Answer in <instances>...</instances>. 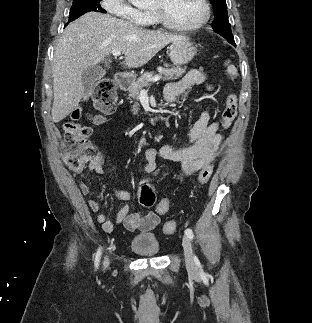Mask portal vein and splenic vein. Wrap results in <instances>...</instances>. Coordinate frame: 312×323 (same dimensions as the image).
<instances>
[{
	"label": "portal vein and splenic vein",
	"instance_id": "18ae733b",
	"mask_svg": "<svg viewBox=\"0 0 312 323\" xmlns=\"http://www.w3.org/2000/svg\"><path fill=\"white\" fill-rule=\"evenodd\" d=\"M112 56H121V52L120 50H113L112 52ZM161 76H155V78H153V82H158V80H160ZM141 96H144V94H147L146 90H141L140 92Z\"/></svg>",
	"mask_w": 312,
	"mask_h": 323
}]
</instances>
